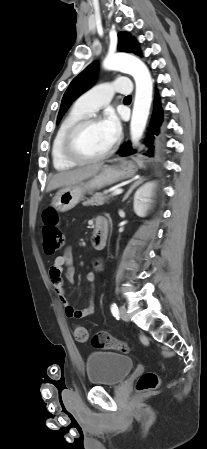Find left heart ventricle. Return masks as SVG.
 <instances>
[{"instance_id":"1","label":"left heart ventricle","mask_w":207,"mask_h":449,"mask_svg":"<svg viewBox=\"0 0 207 449\" xmlns=\"http://www.w3.org/2000/svg\"><path fill=\"white\" fill-rule=\"evenodd\" d=\"M112 145L101 123L84 127L75 138V147L88 156H96L106 151Z\"/></svg>"}]
</instances>
